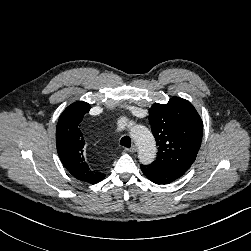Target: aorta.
<instances>
[{
  "label": "aorta",
  "mask_w": 251,
  "mask_h": 251,
  "mask_svg": "<svg viewBox=\"0 0 251 251\" xmlns=\"http://www.w3.org/2000/svg\"><path fill=\"white\" fill-rule=\"evenodd\" d=\"M131 136L138 146L139 161L148 165L156 158V142L152 133L144 126H136L131 130Z\"/></svg>",
  "instance_id": "obj_1"
}]
</instances>
